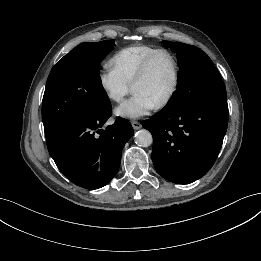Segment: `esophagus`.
Masks as SVG:
<instances>
[{
	"label": "esophagus",
	"instance_id": "obj_1",
	"mask_svg": "<svg viewBox=\"0 0 261 261\" xmlns=\"http://www.w3.org/2000/svg\"><path fill=\"white\" fill-rule=\"evenodd\" d=\"M131 125H132L134 130H138V129H140L142 127L141 123L138 122V121H132Z\"/></svg>",
	"mask_w": 261,
	"mask_h": 261
}]
</instances>
